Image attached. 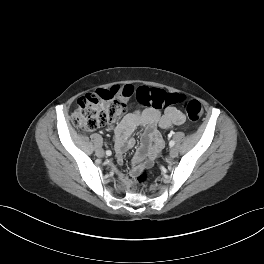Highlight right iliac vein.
Segmentation results:
<instances>
[{"instance_id":"right-iliac-vein-1","label":"right iliac vein","mask_w":264,"mask_h":264,"mask_svg":"<svg viewBox=\"0 0 264 264\" xmlns=\"http://www.w3.org/2000/svg\"><path fill=\"white\" fill-rule=\"evenodd\" d=\"M96 155H97L98 157H103V156H104V151H103L102 149H97V150H96Z\"/></svg>"}]
</instances>
